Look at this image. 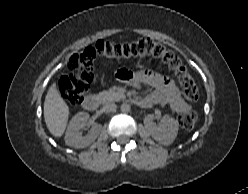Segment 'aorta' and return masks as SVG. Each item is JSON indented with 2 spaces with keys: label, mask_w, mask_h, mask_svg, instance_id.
Masks as SVG:
<instances>
[{
  "label": "aorta",
  "mask_w": 248,
  "mask_h": 194,
  "mask_svg": "<svg viewBox=\"0 0 248 194\" xmlns=\"http://www.w3.org/2000/svg\"><path fill=\"white\" fill-rule=\"evenodd\" d=\"M130 110H131V107H130L129 104L123 103V104L121 105V111H122L123 113H128V112H130Z\"/></svg>",
  "instance_id": "aorta-1"
}]
</instances>
